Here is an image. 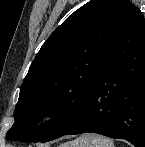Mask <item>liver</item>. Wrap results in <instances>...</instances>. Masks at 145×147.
I'll return each mask as SVG.
<instances>
[{
  "label": "liver",
  "instance_id": "1",
  "mask_svg": "<svg viewBox=\"0 0 145 147\" xmlns=\"http://www.w3.org/2000/svg\"><path fill=\"white\" fill-rule=\"evenodd\" d=\"M67 144H68V143H66V144H64V145H61L60 147H66Z\"/></svg>",
  "mask_w": 145,
  "mask_h": 147
}]
</instances>
